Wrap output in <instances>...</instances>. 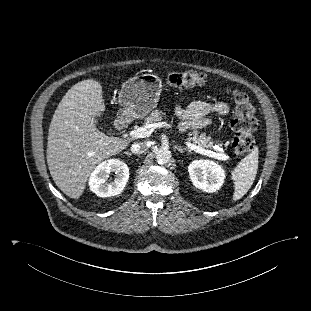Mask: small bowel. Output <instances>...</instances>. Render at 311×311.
<instances>
[{
    "mask_svg": "<svg viewBox=\"0 0 311 311\" xmlns=\"http://www.w3.org/2000/svg\"><path fill=\"white\" fill-rule=\"evenodd\" d=\"M175 112L181 119V129L187 130L208 125L210 121L207 116L211 112L226 115L229 112V106L225 102L209 104L204 101H195L187 107L178 105Z\"/></svg>",
    "mask_w": 311,
    "mask_h": 311,
    "instance_id": "small-bowel-1",
    "label": "small bowel"
}]
</instances>
